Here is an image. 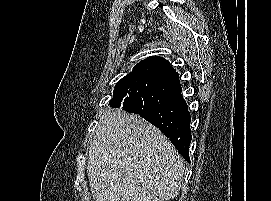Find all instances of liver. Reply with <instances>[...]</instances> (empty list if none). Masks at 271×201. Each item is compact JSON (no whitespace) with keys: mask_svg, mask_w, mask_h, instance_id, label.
I'll use <instances>...</instances> for the list:
<instances>
[{"mask_svg":"<svg viewBox=\"0 0 271 201\" xmlns=\"http://www.w3.org/2000/svg\"><path fill=\"white\" fill-rule=\"evenodd\" d=\"M87 175L95 201H168L179 194L185 165L158 128L116 110L99 118Z\"/></svg>","mask_w":271,"mask_h":201,"instance_id":"1","label":"liver"}]
</instances>
